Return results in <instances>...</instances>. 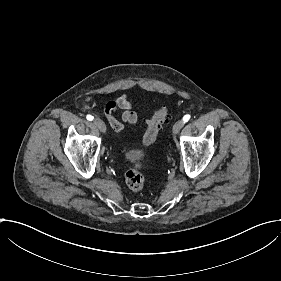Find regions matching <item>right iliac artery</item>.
Segmentation results:
<instances>
[{
	"mask_svg": "<svg viewBox=\"0 0 281 281\" xmlns=\"http://www.w3.org/2000/svg\"><path fill=\"white\" fill-rule=\"evenodd\" d=\"M87 120H89V121H92L93 119H94V117L93 116H91V115H87Z\"/></svg>",
	"mask_w": 281,
	"mask_h": 281,
	"instance_id": "obj_1",
	"label": "right iliac artery"
}]
</instances>
